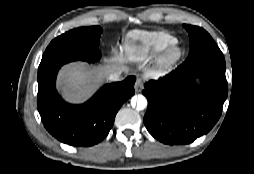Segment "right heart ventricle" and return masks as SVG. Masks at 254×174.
I'll return each instance as SVG.
<instances>
[{
	"instance_id": "obj_1",
	"label": "right heart ventricle",
	"mask_w": 254,
	"mask_h": 174,
	"mask_svg": "<svg viewBox=\"0 0 254 174\" xmlns=\"http://www.w3.org/2000/svg\"><path fill=\"white\" fill-rule=\"evenodd\" d=\"M177 38L166 31H131L124 40V50L128 58L142 61L160 53Z\"/></svg>"
}]
</instances>
